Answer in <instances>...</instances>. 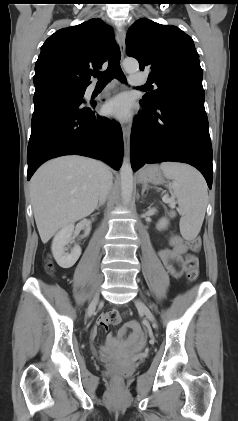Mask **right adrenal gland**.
Segmentation results:
<instances>
[{
  "label": "right adrenal gland",
  "mask_w": 238,
  "mask_h": 421,
  "mask_svg": "<svg viewBox=\"0 0 238 421\" xmlns=\"http://www.w3.org/2000/svg\"><path fill=\"white\" fill-rule=\"evenodd\" d=\"M103 205V203L99 202V204L96 206V209H99V207H101Z\"/></svg>",
  "instance_id": "obj_1"
}]
</instances>
